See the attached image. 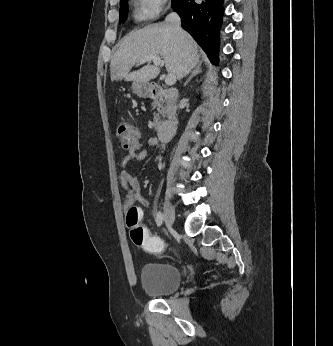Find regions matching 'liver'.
<instances>
[{
	"label": "liver",
	"instance_id": "obj_1",
	"mask_svg": "<svg viewBox=\"0 0 333 346\" xmlns=\"http://www.w3.org/2000/svg\"><path fill=\"white\" fill-rule=\"evenodd\" d=\"M149 56L162 57L167 72L177 79L186 76L199 62L198 46L188 33L176 31L169 23L153 24L123 39L110 63L111 80L148 83L156 78L160 69L154 65L130 72L136 63Z\"/></svg>",
	"mask_w": 333,
	"mask_h": 346
}]
</instances>
